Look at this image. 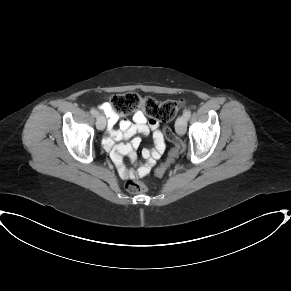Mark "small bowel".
Returning a JSON list of instances; mask_svg holds the SVG:
<instances>
[{
    "label": "small bowel",
    "mask_w": 291,
    "mask_h": 291,
    "mask_svg": "<svg viewBox=\"0 0 291 291\" xmlns=\"http://www.w3.org/2000/svg\"><path fill=\"white\" fill-rule=\"evenodd\" d=\"M99 108L108 118V137L103 141V145L110 153L120 176L123 179H135L148 174L165 150V139L160 130L159 122L148 118L141 110L134 113L133 122H130L124 112L113 109L108 102L103 103ZM150 132L153 135L154 148L152 150H142L143 161L137 163L134 168H127L123 163V156H128L130 160L134 161L136 158L135 150L141 142L140 138L134 136L138 133L147 135ZM130 138L132 139L129 143L116 144V142ZM185 151V145L178 142L173 160H177Z\"/></svg>",
    "instance_id": "1"
}]
</instances>
